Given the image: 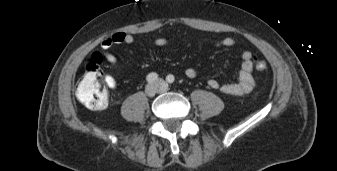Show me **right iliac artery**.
I'll list each match as a JSON object with an SVG mask.
<instances>
[{
  "instance_id": "obj_1",
  "label": "right iliac artery",
  "mask_w": 337,
  "mask_h": 171,
  "mask_svg": "<svg viewBox=\"0 0 337 171\" xmlns=\"http://www.w3.org/2000/svg\"><path fill=\"white\" fill-rule=\"evenodd\" d=\"M158 79V75L156 74V73H150V74H148L147 75V77H146V80H147V82H149V83H153V82H155L156 80Z\"/></svg>"
}]
</instances>
